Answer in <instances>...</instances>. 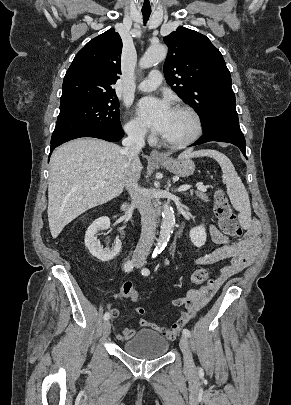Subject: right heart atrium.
I'll list each match as a JSON object with an SVG mask.
<instances>
[{"mask_svg":"<svg viewBox=\"0 0 291 405\" xmlns=\"http://www.w3.org/2000/svg\"><path fill=\"white\" fill-rule=\"evenodd\" d=\"M126 134L137 141H143L148 133L146 128L135 118H130L124 125Z\"/></svg>","mask_w":291,"mask_h":405,"instance_id":"right-heart-atrium-1","label":"right heart atrium"}]
</instances>
